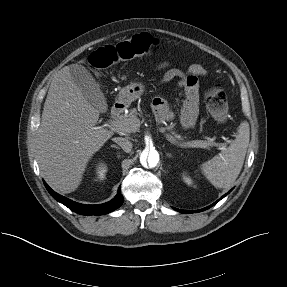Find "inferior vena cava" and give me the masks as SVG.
I'll return each instance as SVG.
<instances>
[{"instance_id": "obj_1", "label": "inferior vena cava", "mask_w": 287, "mask_h": 287, "mask_svg": "<svg viewBox=\"0 0 287 287\" xmlns=\"http://www.w3.org/2000/svg\"><path fill=\"white\" fill-rule=\"evenodd\" d=\"M115 143H117L125 152H130L132 149V143L126 139L121 137H115L112 139Z\"/></svg>"}]
</instances>
